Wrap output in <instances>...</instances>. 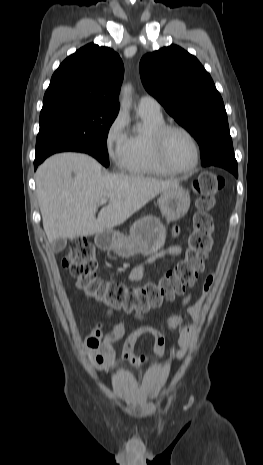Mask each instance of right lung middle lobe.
I'll return each mask as SVG.
<instances>
[{"label": "right lung middle lobe", "mask_w": 263, "mask_h": 465, "mask_svg": "<svg viewBox=\"0 0 263 465\" xmlns=\"http://www.w3.org/2000/svg\"><path fill=\"white\" fill-rule=\"evenodd\" d=\"M118 109L70 101L43 104L35 160L51 154L79 151L109 165L106 140Z\"/></svg>", "instance_id": "dd1d6c3e"}]
</instances>
